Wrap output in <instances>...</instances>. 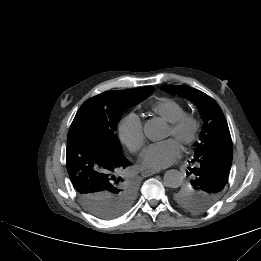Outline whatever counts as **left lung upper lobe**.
I'll use <instances>...</instances> for the list:
<instances>
[{
	"label": "left lung upper lobe",
	"instance_id": "left-lung-upper-lobe-1",
	"mask_svg": "<svg viewBox=\"0 0 261 261\" xmlns=\"http://www.w3.org/2000/svg\"><path fill=\"white\" fill-rule=\"evenodd\" d=\"M161 89L192 101L204 121L192 159L195 167L190 173L191 180L174 193L175 202L182 208L193 213L204 212L217 202L227 183L233 155L227 121L217 102L197 89L185 85H164ZM201 168L208 175L195 179L194 171Z\"/></svg>",
	"mask_w": 261,
	"mask_h": 261
}]
</instances>
